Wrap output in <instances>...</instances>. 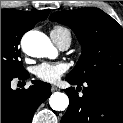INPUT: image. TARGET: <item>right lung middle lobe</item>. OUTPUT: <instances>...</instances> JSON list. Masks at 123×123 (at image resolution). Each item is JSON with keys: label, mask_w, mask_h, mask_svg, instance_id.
Returning <instances> with one entry per match:
<instances>
[{"label": "right lung middle lobe", "mask_w": 123, "mask_h": 123, "mask_svg": "<svg viewBox=\"0 0 123 123\" xmlns=\"http://www.w3.org/2000/svg\"><path fill=\"white\" fill-rule=\"evenodd\" d=\"M32 28L14 14L1 11V79H13L27 73L19 60V43L23 34Z\"/></svg>", "instance_id": "obj_1"}]
</instances>
